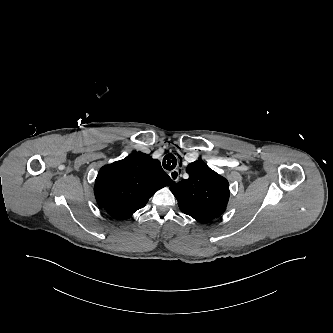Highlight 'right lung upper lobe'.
Returning <instances> with one entry per match:
<instances>
[{
  "mask_svg": "<svg viewBox=\"0 0 333 333\" xmlns=\"http://www.w3.org/2000/svg\"><path fill=\"white\" fill-rule=\"evenodd\" d=\"M170 184L159 160L135 151L99 170L94 193L100 208L116 219H126L143 208L157 190Z\"/></svg>",
  "mask_w": 333,
  "mask_h": 333,
  "instance_id": "obj_1",
  "label": "right lung upper lobe"
}]
</instances>
